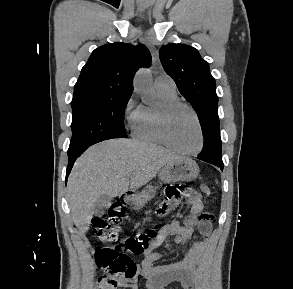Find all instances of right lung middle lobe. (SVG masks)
<instances>
[{
  "label": "right lung middle lobe",
  "mask_w": 293,
  "mask_h": 289,
  "mask_svg": "<svg viewBox=\"0 0 293 289\" xmlns=\"http://www.w3.org/2000/svg\"><path fill=\"white\" fill-rule=\"evenodd\" d=\"M129 99L130 95L72 101V138L69 148L97 143L106 138H127L123 121Z\"/></svg>",
  "instance_id": "dd1d6c3e"
}]
</instances>
